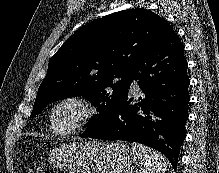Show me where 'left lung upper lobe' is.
Listing matches in <instances>:
<instances>
[{"mask_svg": "<svg viewBox=\"0 0 219 173\" xmlns=\"http://www.w3.org/2000/svg\"><path fill=\"white\" fill-rule=\"evenodd\" d=\"M172 31L147 9L119 11L84 25L50 59L30 117L53 100L83 96L99 112L86 125L85 132H95L128 94L138 60Z\"/></svg>", "mask_w": 219, "mask_h": 173, "instance_id": "left-lung-upper-lobe-1", "label": "left lung upper lobe"}]
</instances>
